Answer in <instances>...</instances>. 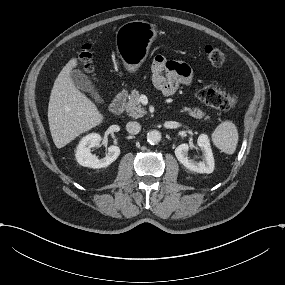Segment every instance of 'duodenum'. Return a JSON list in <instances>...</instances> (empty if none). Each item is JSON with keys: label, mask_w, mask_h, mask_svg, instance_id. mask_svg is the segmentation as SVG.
<instances>
[{"label": "duodenum", "mask_w": 285, "mask_h": 285, "mask_svg": "<svg viewBox=\"0 0 285 285\" xmlns=\"http://www.w3.org/2000/svg\"><path fill=\"white\" fill-rule=\"evenodd\" d=\"M127 98V93L125 91H120L112 101L110 105V110L115 115H120L123 112L125 101Z\"/></svg>", "instance_id": "1"}]
</instances>
